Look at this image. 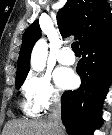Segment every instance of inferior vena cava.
I'll return each mask as SVG.
<instances>
[{"instance_id": "1", "label": "inferior vena cava", "mask_w": 112, "mask_h": 135, "mask_svg": "<svg viewBox=\"0 0 112 135\" xmlns=\"http://www.w3.org/2000/svg\"><path fill=\"white\" fill-rule=\"evenodd\" d=\"M48 122L53 130V135H63V125L61 121V102L55 98L48 115Z\"/></svg>"}]
</instances>
